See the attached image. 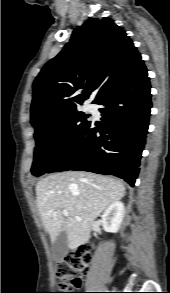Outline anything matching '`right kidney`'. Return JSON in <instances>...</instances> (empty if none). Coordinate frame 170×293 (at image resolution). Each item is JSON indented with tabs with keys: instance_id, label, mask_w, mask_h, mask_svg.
<instances>
[{
	"instance_id": "obj_1",
	"label": "right kidney",
	"mask_w": 170,
	"mask_h": 293,
	"mask_svg": "<svg viewBox=\"0 0 170 293\" xmlns=\"http://www.w3.org/2000/svg\"><path fill=\"white\" fill-rule=\"evenodd\" d=\"M125 209L120 201L111 204L102 215V226L106 232H118L123 221Z\"/></svg>"
}]
</instances>
